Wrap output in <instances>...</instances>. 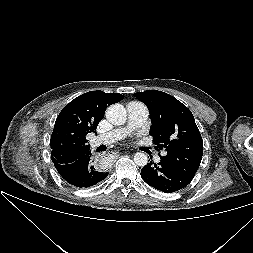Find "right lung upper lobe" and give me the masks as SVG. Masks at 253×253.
I'll use <instances>...</instances> for the list:
<instances>
[{
    "label": "right lung upper lobe",
    "instance_id": "obj_1",
    "mask_svg": "<svg viewBox=\"0 0 253 253\" xmlns=\"http://www.w3.org/2000/svg\"><path fill=\"white\" fill-rule=\"evenodd\" d=\"M123 98L118 93L91 91L67 104L58 115L51 136L53 163H70L90 152L86 135L96 133L106 108Z\"/></svg>",
    "mask_w": 253,
    "mask_h": 253
}]
</instances>
